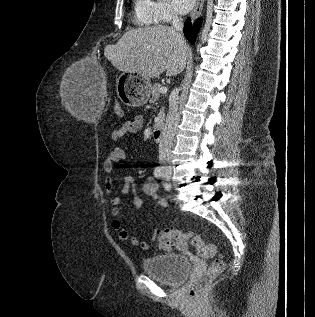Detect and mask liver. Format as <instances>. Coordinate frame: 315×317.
I'll return each mask as SVG.
<instances>
[{
  "mask_svg": "<svg viewBox=\"0 0 315 317\" xmlns=\"http://www.w3.org/2000/svg\"><path fill=\"white\" fill-rule=\"evenodd\" d=\"M191 51L186 41L169 26L157 25L127 31L115 45L105 47L104 55L119 71L136 72L156 78L179 74Z\"/></svg>",
  "mask_w": 315,
  "mask_h": 317,
  "instance_id": "6515ba94",
  "label": "liver"
}]
</instances>
